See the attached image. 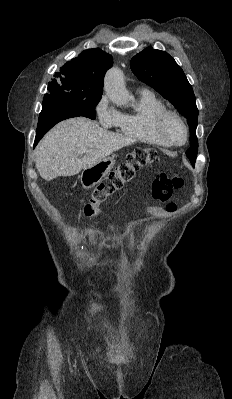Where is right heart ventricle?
Masks as SVG:
<instances>
[{
  "instance_id": "e07e8e85",
  "label": "right heart ventricle",
  "mask_w": 232,
  "mask_h": 399,
  "mask_svg": "<svg viewBox=\"0 0 232 399\" xmlns=\"http://www.w3.org/2000/svg\"><path fill=\"white\" fill-rule=\"evenodd\" d=\"M165 109V104L153 95L143 94L133 113L120 116L117 131L132 142L168 149L171 144L159 136L154 128L156 115Z\"/></svg>"
}]
</instances>
